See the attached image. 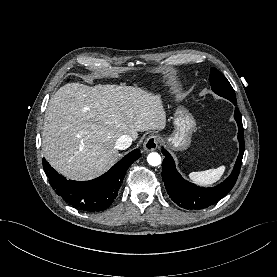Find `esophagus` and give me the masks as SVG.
Wrapping results in <instances>:
<instances>
[{"instance_id":"esophagus-1","label":"esophagus","mask_w":277,"mask_h":277,"mask_svg":"<svg viewBox=\"0 0 277 277\" xmlns=\"http://www.w3.org/2000/svg\"><path fill=\"white\" fill-rule=\"evenodd\" d=\"M160 143V138L156 135H150L146 138L143 149L146 152L154 151L158 148Z\"/></svg>"}]
</instances>
